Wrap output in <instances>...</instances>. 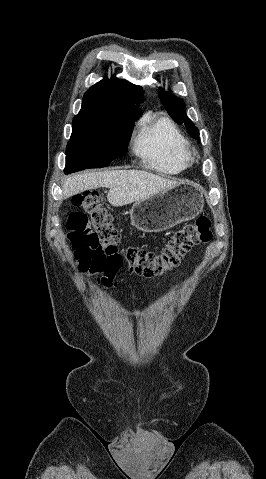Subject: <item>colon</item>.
I'll return each instance as SVG.
<instances>
[{
  "label": "colon",
  "instance_id": "colon-1",
  "mask_svg": "<svg viewBox=\"0 0 266 479\" xmlns=\"http://www.w3.org/2000/svg\"><path fill=\"white\" fill-rule=\"evenodd\" d=\"M72 204L77 210L67 216L65 226L76 268L87 276L97 275V283L105 288L116 284L124 265L133 274L148 278L161 276L177 267L192 247L212 239L210 219L200 216L176 230L159 252L125 247L97 191L75 195Z\"/></svg>",
  "mask_w": 266,
  "mask_h": 479
}]
</instances>
